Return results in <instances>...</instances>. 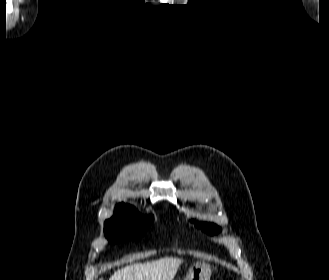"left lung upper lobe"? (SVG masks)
Returning a JSON list of instances; mask_svg holds the SVG:
<instances>
[{"label":"left lung upper lobe","instance_id":"left-lung-upper-lobe-1","mask_svg":"<svg viewBox=\"0 0 329 280\" xmlns=\"http://www.w3.org/2000/svg\"><path fill=\"white\" fill-rule=\"evenodd\" d=\"M200 227L203 229V231L210 235H213L214 233H218L220 231V228L212 223H202Z\"/></svg>","mask_w":329,"mask_h":280}]
</instances>
